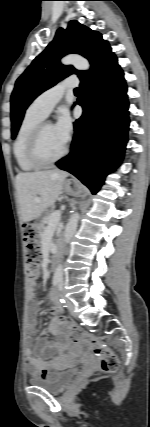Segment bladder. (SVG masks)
<instances>
[{
  "label": "bladder",
  "mask_w": 150,
  "mask_h": 427,
  "mask_svg": "<svg viewBox=\"0 0 150 427\" xmlns=\"http://www.w3.org/2000/svg\"><path fill=\"white\" fill-rule=\"evenodd\" d=\"M76 373L75 368L57 370L51 372L47 377L32 376L29 378V383L51 393H60L72 382Z\"/></svg>",
  "instance_id": "1"
}]
</instances>
